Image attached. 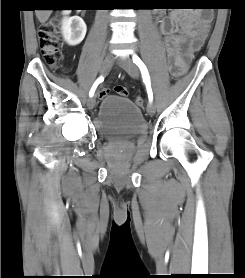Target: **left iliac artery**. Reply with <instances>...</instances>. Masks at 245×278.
Returning <instances> with one entry per match:
<instances>
[{"label": "left iliac artery", "mask_w": 245, "mask_h": 278, "mask_svg": "<svg viewBox=\"0 0 245 278\" xmlns=\"http://www.w3.org/2000/svg\"><path fill=\"white\" fill-rule=\"evenodd\" d=\"M133 62L139 67V69L141 71L143 82L146 85L148 99L150 102H152L153 92H152V88H151L150 76H149L147 67L145 66L143 61L137 55H133Z\"/></svg>", "instance_id": "44dca946"}]
</instances>
